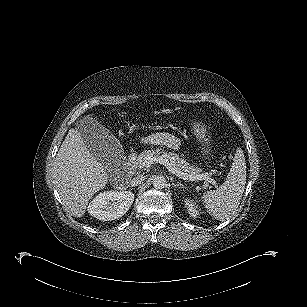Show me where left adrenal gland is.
<instances>
[{
	"instance_id": "1",
	"label": "left adrenal gland",
	"mask_w": 307,
	"mask_h": 307,
	"mask_svg": "<svg viewBox=\"0 0 307 307\" xmlns=\"http://www.w3.org/2000/svg\"><path fill=\"white\" fill-rule=\"evenodd\" d=\"M173 187H184L181 183H172Z\"/></svg>"
}]
</instances>
